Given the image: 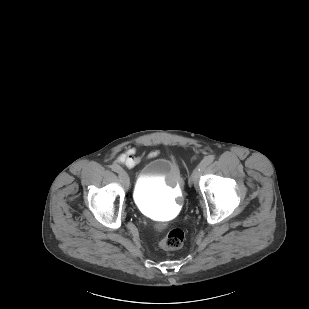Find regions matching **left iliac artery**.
<instances>
[{
    "label": "left iliac artery",
    "mask_w": 309,
    "mask_h": 309,
    "mask_svg": "<svg viewBox=\"0 0 309 309\" xmlns=\"http://www.w3.org/2000/svg\"><path fill=\"white\" fill-rule=\"evenodd\" d=\"M214 156L213 155H209V156H207V157H205L202 161H201V163H204L206 166L207 165H209V164H211L213 161H214Z\"/></svg>",
    "instance_id": "obj_1"
}]
</instances>
